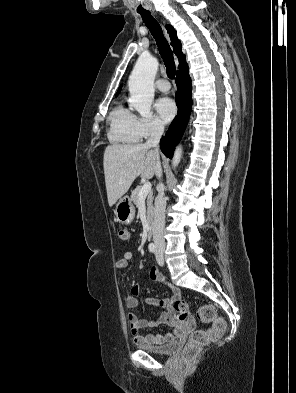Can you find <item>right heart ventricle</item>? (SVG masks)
<instances>
[{"label": "right heart ventricle", "instance_id": "right-heart-ventricle-1", "mask_svg": "<svg viewBox=\"0 0 296 393\" xmlns=\"http://www.w3.org/2000/svg\"><path fill=\"white\" fill-rule=\"evenodd\" d=\"M138 117L123 105L116 107L110 115L108 137L111 142L135 144L140 141L137 128Z\"/></svg>", "mask_w": 296, "mask_h": 393}]
</instances>
